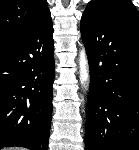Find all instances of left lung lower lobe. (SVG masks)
<instances>
[{"instance_id": "0a47b994", "label": "left lung lower lobe", "mask_w": 139, "mask_h": 150, "mask_svg": "<svg viewBox=\"0 0 139 150\" xmlns=\"http://www.w3.org/2000/svg\"><path fill=\"white\" fill-rule=\"evenodd\" d=\"M90 65L85 150H139V13L132 3L90 5L81 18Z\"/></svg>"}]
</instances>
